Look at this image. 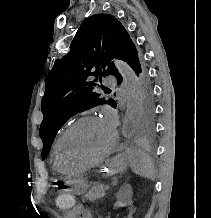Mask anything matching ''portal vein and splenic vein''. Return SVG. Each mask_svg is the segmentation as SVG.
<instances>
[{
	"label": "portal vein and splenic vein",
	"instance_id": "portal-vein-and-splenic-vein-1",
	"mask_svg": "<svg viewBox=\"0 0 211 218\" xmlns=\"http://www.w3.org/2000/svg\"><path fill=\"white\" fill-rule=\"evenodd\" d=\"M110 187H111L110 185H109V186H107V187H106V191H109V188H110Z\"/></svg>",
	"mask_w": 211,
	"mask_h": 218
}]
</instances>
